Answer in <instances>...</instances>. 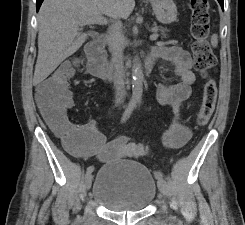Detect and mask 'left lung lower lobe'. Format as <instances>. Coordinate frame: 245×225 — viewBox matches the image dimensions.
<instances>
[{"mask_svg": "<svg viewBox=\"0 0 245 225\" xmlns=\"http://www.w3.org/2000/svg\"><path fill=\"white\" fill-rule=\"evenodd\" d=\"M218 2L220 3L221 8L224 10V0H218Z\"/></svg>", "mask_w": 245, "mask_h": 225, "instance_id": "left-lung-lower-lobe-1", "label": "left lung lower lobe"}]
</instances>
